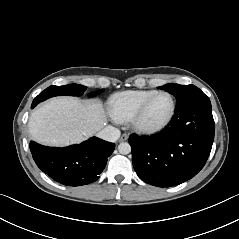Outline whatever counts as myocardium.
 <instances>
[{
	"label": "myocardium",
	"instance_id": "f54148a6",
	"mask_svg": "<svg viewBox=\"0 0 239 239\" xmlns=\"http://www.w3.org/2000/svg\"><path fill=\"white\" fill-rule=\"evenodd\" d=\"M160 95H166L171 100V110L168 116L161 121L158 124L155 125H149L143 122V115L146 111V108L150 104V102L160 96ZM176 113V101L172 94H170L167 91H158L147 97L136 109V111L133 113L132 117L129 119L131 126L134 130H136L139 133L142 134H155L160 131H162L164 128H166L170 122L173 120Z\"/></svg>",
	"mask_w": 239,
	"mask_h": 239
}]
</instances>
